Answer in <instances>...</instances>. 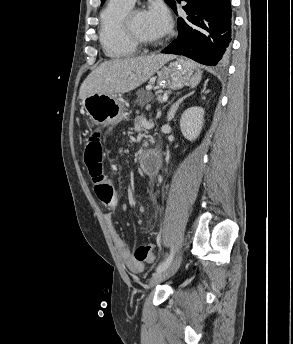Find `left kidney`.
Here are the masks:
<instances>
[{"label":"left kidney","instance_id":"5707ae66","mask_svg":"<svg viewBox=\"0 0 293 344\" xmlns=\"http://www.w3.org/2000/svg\"><path fill=\"white\" fill-rule=\"evenodd\" d=\"M204 123V109L201 107L188 108L181 116L180 129L183 136L194 141L201 133Z\"/></svg>","mask_w":293,"mask_h":344}]
</instances>
